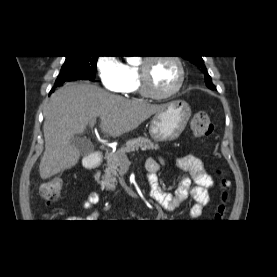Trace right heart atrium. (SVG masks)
I'll return each instance as SVG.
<instances>
[{
    "instance_id": "right-heart-atrium-1",
    "label": "right heart atrium",
    "mask_w": 277,
    "mask_h": 277,
    "mask_svg": "<svg viewBox=\"0 0 277 277\" xmlns=\"http://www.w3.org/2000/svg\"><path fill=\"white\" fill-rule=\"evenodd\" d=\"M97 71L102 85L109 91L124 93L129 82L127 66L117 55H102L97 59Z\"/></svg>"
}]
</instances>
